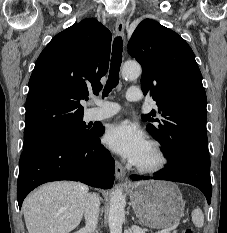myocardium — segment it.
I'll list each match as a JSON object with an SVG mask.
<instances>
[{
  "instance_id": "obj_1",
  "label": "myocardium",
  "mask_w": 227,
  "mask_h": 233,
  "mask_svg": "<svg viewBox=\"0 0 227 233\" xmlns=\"http://www.w3.org/2000/svg\"><path fill=\"white\" fill-rule=\"evenodd\" d=\"M148 145L153 149L156 155V162L152 165H140L136 163L134 164V168L141 174L154 175L165 169L168 164V156L165 149L158 141L150 140Z\"/></svg>"
}]
</instances>
